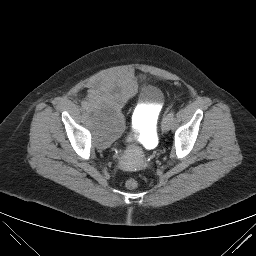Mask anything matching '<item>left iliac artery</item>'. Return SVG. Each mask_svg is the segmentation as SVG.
<instances>
[{"instance_id": "left-iliac-artery-1", "label": "left iliac artery", "mask_w": 256, "mask_h": 256, "mask_svg": "<svg viewBox=\"0 0 256 256\" xmlns=\"http://www.w3.org/2000/svg\"><path fill=\"white\" fill-rule=\"evenodd\" d=\"M174 114H175V111L171 110L167 116L172 120L174 117Z\"/></svg>"}]
</instances>
